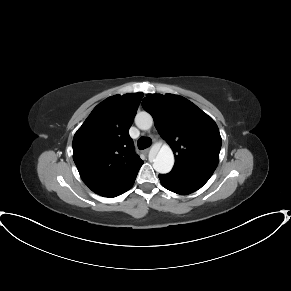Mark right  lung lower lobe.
Here are the masks:
<instances>
[{
  "instance_id": "1",
  "label": "right lung lower lobe",
  "mask_w": 291,
  "mask_h": 291,
  "mask_svg": "<svg viewBox=\"0 0 291 291\" xmlns=\"http://www.w3.org/2000/svg\"><path fill=\"white\" fill-rule=\"evenodd\" d=\"M134 181H135V179L128 186H126L123 190H121L120 192H118V193H116L114 195L108 196V197H116V196L126 192L127 190H129L132 187Z\"/></svg>"
}]
</instances>
